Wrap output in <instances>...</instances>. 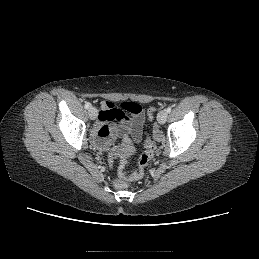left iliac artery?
<instances>
[{
  "label": "left iliac artery",
  "mask_w": 259,
  "mask_h": 259,
  "mask_svg": "<svg viewBox=\"0 0 259 259\" xmlns=\"http://www.w3.org/2000/svg\"><path fill=\"white\" fill-rule=\"evenodd\" d=\"M171 110H172L171 107H168V108L166 109V112H167V113H170Z\"/></svg>",
  "instance_id": "44dca946"
}]
</instances>
